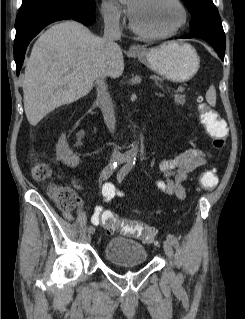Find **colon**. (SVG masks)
Wrapping results in <instances>:
<instances>
[{
  "mask_svg": "<svg viewBox=\"0 0 245 319\" xmlns=\"http://www.w3.org/2000/svg\"><path fill=\"white\" fill-rule=\"evenodd\" d=\"M199 115L202 125L212 140L216 149L224 147L227 139V126L219 117L216 110L211 108L202 98L199 99ZM35 179L42 181L49 177L50 171L47 166L37 164L33 169ZM217 184V174L214 169L205 171L200 177V188L205 190L213 189ZM49 192L54 198L57 206L63 211H72L78 205L79 199L75 192L65 186L52 184ZM102 225L108 233L116 231L122 234L139 238L147 243L156 241V232L144 222L137 220L118 218L113 212L105 211L102 214Z\"/></svg>",
  "mask_w": 245,
  "mask_h": 319,
  "instance_id": "5ec220e1",
  "label": "colon"
}]
</instances>
